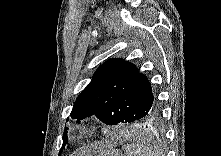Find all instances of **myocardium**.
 Segmentation results:
<instances>
[{
	"label": "myocardium",
	"mask_w": 221,
	"mask_h": 156,
	"mask_svg": "<svg viewBox=\"0 0 221 156\" xmlns=\"http://www.w3.org/2000/svg\"><path fill=\"white\" fill-rule=\"evenodd\" d=\"M95 129V126L90 121H81L77 123L73 128L71 129V135L74 138L80 139L87 137L90 135Z\"/></svg>",
	"instance_id": "obj_1"
}]
</instances>
